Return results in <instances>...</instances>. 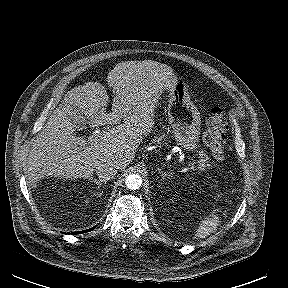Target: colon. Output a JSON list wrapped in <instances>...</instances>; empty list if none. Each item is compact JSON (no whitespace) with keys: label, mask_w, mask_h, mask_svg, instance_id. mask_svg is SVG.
<instances>
[{"label":"colon","mask_w":288,"mask_h":288,"mask_svg":"<svg viewBox=\"0 0 288 288\" xmlns=\"http://www.w3.org/2000/svg\"><path fill=\"white\" fill-rule=\"evenodd\" d=\"M227 130V119L221 109H213L206 120V130L203 140L210 149L215 160L221 161L225 158V132Z\"/></svg>","instance_id":"1"}]
</instances>
